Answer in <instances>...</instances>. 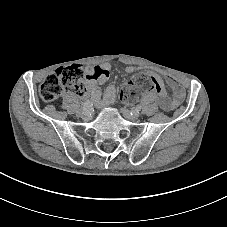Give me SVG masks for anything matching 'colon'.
<instances>
[{"label": "colon", "instance_id": "1", "mask_svg": "<svg viewBox=\"0 0 227 227\" xmlns=\"http://www.w3.org/2000/svg\"><path fill=\"white\" fill-rule=\"evenodd\" d=\"M85 88L84 72L79 65H70L58 68L53 74L46 77L39 88L40 97L45 102L56 100L64 90L82 94ZM156 91L164 94L162 85L151 75L140 74L135 76L120 90V96L127 102L136 100L142 93Z\"/></svg>", "mask_w": 227, "mask_h": 227}]
</instances>
